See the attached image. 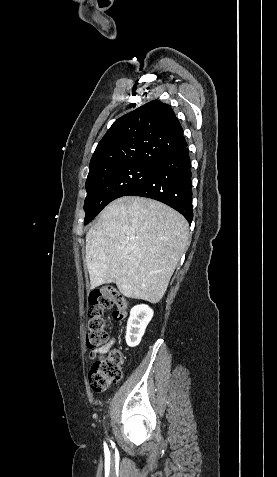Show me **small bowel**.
Instances as JSON below:
<instances>
[{"instance_id":"1","label":"small bowel","mask_w":277,"mask_h":477,"mask_svg":"<svg viewBox=\"0 0 277 477\" xmlns=\"http://www.w3.org/2000/svg\"><path fill=\"white\" fill-rule=\"evenodd\" d=\"M115 341V338L112 337L105 345L92 349L89 353V358L95 360L107 355L111 347L115 344Z\"/></svg>"}]
</instances>
